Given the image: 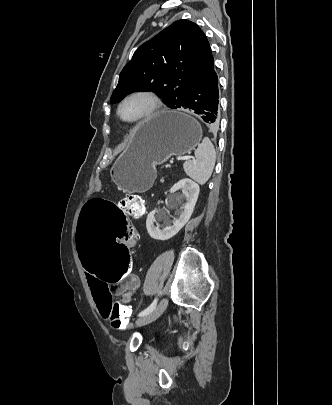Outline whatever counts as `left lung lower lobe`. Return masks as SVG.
I'll list each match as a JSON object with an SVG mask.
<instances>
[{"instance_id":"left-lung-lower-lobe-1","label":"left lung lower lobe","mask_w":332,"mask_h":405,"mask_svg":"<svg viewBox=\"0 0 332 405\" xmlns=\"http://www.w3.org/2000/svg\"><path fill=\"white\" fill-rule=\"evenodd\" d=\"M218 104V76L214 69V58L210 55L209 59L195 75L182 108L191 109L210 126L217 128L220 121Z\"/></svg>"}]
</instances>
